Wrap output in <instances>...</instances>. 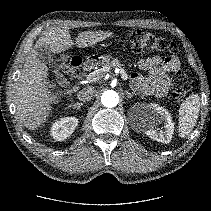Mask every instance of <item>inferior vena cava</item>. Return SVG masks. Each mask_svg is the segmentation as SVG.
<instances>
[{
	"instance_id": "1",
	"label": "inferior vena cava",
	"mask_w": 211,
	"mask_h": 211,
	"mask_svg": "<svg viewBox=\"0 0 211 211\" xmlns=\"http://www.w3.org/2000/svg\"><path fill=\"white\" fill-rule=\"evenodd\" d=\"M95 88L92 86H87L83 88L81 91L78 93V99L81 101H90L92 97L94 96L95 93Z\"/></svg>"
}]
</instances>
